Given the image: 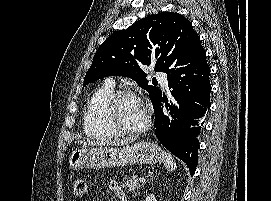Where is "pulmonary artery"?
Masks as SVG:
<instances>
[{"mask_svg":"<svg viewBox=\"0 0 271 201\" xmlns=\"http://www.w3.org/2000/svg\"><path fill=\"white\" fill-rule=\"evenodd\" d=\"M157 77H158L159 81H160L163 85H166V84H167V79H166L165 73H163L162 71H158V72H157ZM105 82H106V85H107V86L112 87V86L114 85V81H113V79H111V78L106 79Z\"/></svg>","mask_w":271,"mask_h":201,"instance_id":"pulmonary-artery-1","label":"pulmonary artery"}]
</instances>
